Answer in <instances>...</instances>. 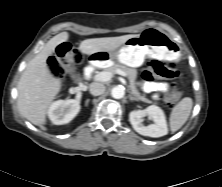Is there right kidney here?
Returning a JSON list of instances; mask_svg holds the SVG:
<instances>
[{"label": "right kidney", "mask_w": 222, "mask_h": 187, "mask_svg": "<svg viewBox=\"0 0 222 187\" xmlns=\"http://www.w3.org/2000/svg\"><path fill=\"white\" fill-rule=\"evenodd\" d=\"M80 111V103L74 99L58 100L48 110L49 119L55 125L69 123Z\"/></svg>", "instance_id": "obj_1"}]
</instances>
